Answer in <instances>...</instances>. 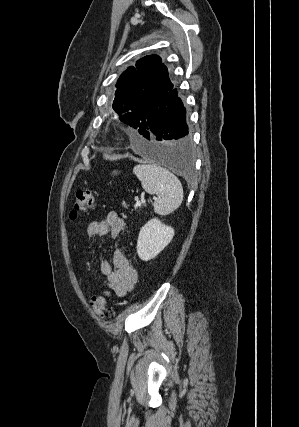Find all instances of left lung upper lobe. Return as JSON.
I'll use <instances>...</instances> for the list:
<instances>
[{"instance_id":"1","label":"left lung upper lobe","mask_w":299,"mask_h":427,"mask_svg":"<svg viewBox=\"0 0 299 427\" xmlns=\"http://www.w3.org/2000/svg\"><path fill=\"white\" fill-rule=\"evenodd\" d=\"M113 109L132 127L140 108L162 101L173 89L168 70L157 55H148L128 67L116 84Z\"/></svg>"}]
</instances>
